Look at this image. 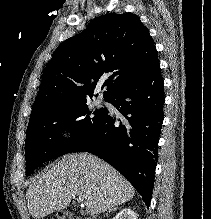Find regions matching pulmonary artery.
Masks as SVG:
<instances>
[{"label": "pulmonary artery", "instance_id": "1", "mask_svg": "<svg viewBox=\"0 0 211 219\" xmlns=\"http://www.w3.org/2000/svg\"><path fill=\"white\" fill-rule=\"evenodd\" d=\"M103 102V100L100 98V99H98V103H102Z\"/></svg>", "mask_w": 211, "mask_h": 219}]
</instances>
